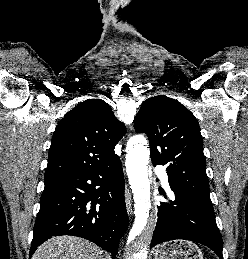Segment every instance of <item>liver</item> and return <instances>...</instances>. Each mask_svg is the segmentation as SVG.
Wrapping results in <instances>:
<instances>
[{"label":"liver","instance_id":"6515ba94","mask_svg":"<svg viewBox=\"0 0 248 259\" xmlns=\"http://www.w3.org/2000/svg\"><path fill=\"white\" fill-rule=\"evenodd\" d=\"M32 259H105L95 244L75 236H57L41 244Z\"/></svg>","mask_w":248,"mask_h":259}]
</instances>
